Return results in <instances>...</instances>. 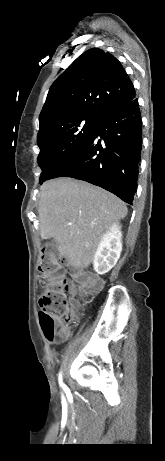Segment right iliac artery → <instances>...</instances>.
I'll return each instance as SVG.
<instances>
[{
    "mask_svg": "<svg viewBox=\"0 0 165 461\" xmlns=\"http://www.w3.org/2000/svg\"><path fill=\"white\" fill-rule=\"evenodd\" d=\"M59 384L65 391L68 389L67 386L65 384H63V382H62V375L61 374H59Z\"/></svg>",
    "mask_w": 165,
    "mask_h": 461,
    "instance_id": "right-iliac-artery-1",
    "label": "right iliac artery"
}]
</instances>
